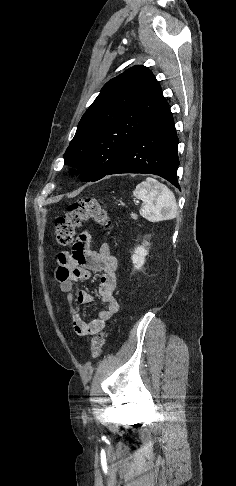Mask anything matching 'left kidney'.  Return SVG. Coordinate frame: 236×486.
Instances as JSON below:
<instances>
[{
	"instance_id": "1",
	"label": "left kidney",
	"mask_w": 236,
	"mask_h": 486,
	"mask_svg": "<svg viewBox=\"0 0 236 486\" xmlns=\"http://www.w3.org/2000/svg\"><path fill=\"white\" fill-rule=\"evenodd\" d=\"M149 242L145 241L141 246L135 248L134 254L132 255V263L135 269H141L145 263V257L148 254Z\"/></svg>"
}]
</instances>
